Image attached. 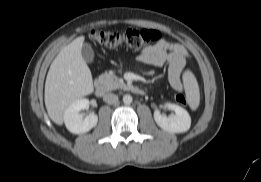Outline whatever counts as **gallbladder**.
I'll use <instances>...</instances> for the list:
<instances>
[{
  "label": "gallbladder",
  "mask_w": 261,
  "mask_h": 182,
  "mask_svg": "<svg viewBox=\"0 0 261 182\" xmlns=\"http://www.w3.org/2000/svg\"><path fill=\"white\" fill-rule=\"evenodd\" d=\"M81 54L83 59L87 62V63H92L94 60V51L91 47L90 44H83L82 49H81Z\"/></svg>",
  "instance_id": "gallbladder-1"
}]
</instances>
